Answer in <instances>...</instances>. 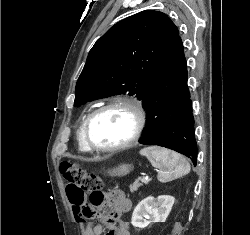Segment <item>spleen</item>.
<instances>
[{
    "label": "spleen",
    "instance_id": "3e777b00",
    "mask_svg": "<svg viewBox=\"0 0 250 235\" xmlns=\"http://www.w3.org/2000/svg\"><path fill=\"white\" fill-rule=\"evenodd\" d=\"M140 154L146 156L153 167L159 168L157 178L163 183L182 177L191 169L182 155L166 148L150 146L140 150Z\"/></svg>",
    "mask_w": 250,
    "mask_h": 235
}]
</instances>
